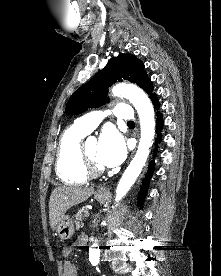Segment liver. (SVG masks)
Returning a JSON list of instances; mask_svg holds the SVG:
<instances>
[{
	"mask_svg": "<svg viewBox=\"0 0 221 276\" xmlns=\"http://www.w3.org/2000/svg\"><path fill=\"white\" fill-rule=\"evenodd\" d=\"M94 189L91 187H56L49 200V220L52 230H55L65 213L71 207L86 201Z\"/></svg>",
	"mask_w": 221,
	"mask_h": 276,
	"instance_id": "liver-1",
	"label": "liver"
}]
</instances>
